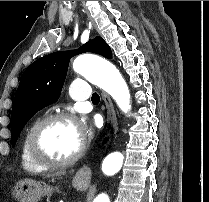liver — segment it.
Returning <instances> with one entry per match:
<instances>
[{"label": "liver", "instance_id": "6515ba94", "mask_svg": "<svg viewBox=\"0 0 209 202\" xmlns=\"http://www.w3.org/2000/svg\"><path fill=\"white\" fill-rule=\"evenodd\" d=\"M60 174H62V173H58V175H60ZM63 174H64V172H63Z\"/></svg>", "mask_w": 209, "mask_h": 202}]
</instances>
